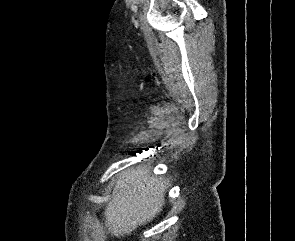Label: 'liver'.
<instances>
[{
  "label": "liver",
  "mask_w": 295,
  "mask_h": 241,
  "mask_svg": "<svg viewBox=\"0 0 295 241\" xmlns=\"http://www.w3.org/2000/svg\"><path fill=\"white\" fill-rule=\"evenodd\" d=\"M165 204L164 181L149 168L129 169L115 182L104 212L105 225L113 236L129 235L138 226L153 220Z\"/></svg>",
  "instance_id": "1"
}]
</instances>
